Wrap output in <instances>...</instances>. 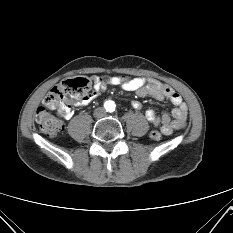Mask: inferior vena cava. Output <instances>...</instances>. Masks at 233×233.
<instances>
[{
	"instance_id": "1",
	"label": "inferior vena cava",
	"mask_w": 233,
	"mask_h": 233,
	"mask_svg": "<svg viewBox=\"0 0 233 233\" xmlns=\"http://www.w3.org/2000/svg\"><path fill=\"white\" fill-rule=\"evenodd\" d=\"M105 110L102 107H99L97 109L94 110V116L95 117H101L105 115Z\"/></svg>"
}]
</instances>
